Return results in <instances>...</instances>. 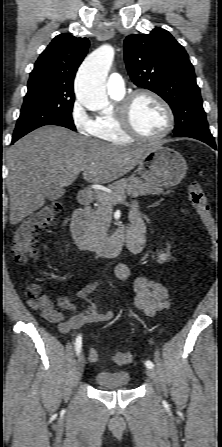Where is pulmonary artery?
I'll return each instance as SVG.
<instances>
[{
	"instance_id": "obj_1",
	"label": "pulmonary artery",
	"mask_w": 222,
	"mask_h": 447,
	"mask_svg": "<svg viewBox=\"0 0 222 447\" xmlns=\"http://www.w3.org/2000/svg\"><path fill=\"white\" fill-rule=\"evenodd\" d=\"M107 90L109 94L120 96L124 94L125 82L118 73H112L107 81Z\"/></svg>"
}]
</instances>
